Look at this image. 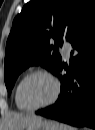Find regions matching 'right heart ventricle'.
<instances>
[{"label":"right heart ventricle","mask_w":95,"mask_h":130,"mask_svg":"<svg viewBox=\"0 0 95 130\" xmlns=\"http://www.w3.org/2000/svg\"><path fill=\"white\" fill-rule=\"evenodd\" d=\"M20 83V82H19ZM19 83L17 84L16 88H15V92H14V101H15V104H16V107L19 109V110H25L18 102L17 100V89H18V85Z\"/></svg>","instance_id":"right-heart-ventricle-1"}]
</instances>
